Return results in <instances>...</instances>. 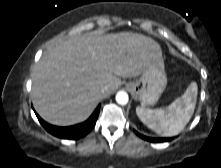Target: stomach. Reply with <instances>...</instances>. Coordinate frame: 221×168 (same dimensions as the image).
<instances>
[{"label": "stomach", "instance_id": "stomach-1", "mask_svg": "<svg viewBox=\"0 0 221 168\" xmlns=\"http://www.w3.org/2000/svg\"><path fill=\"white\" fill-rule=\"evenodd\" d=\"M166 85L167 77L164 64L153 62L143 71L139 79L127 83L126 87L145 107L154 105L159 100Z\"/></svg>", "mask_w": 221, "mask_h": 168}]
</instances>
